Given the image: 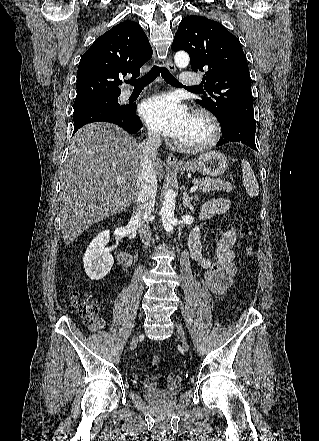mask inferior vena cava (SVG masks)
<instances>
[{
    "label": "inferior vena cava",
    "instance_id": "obj_1",
    "mask_svg": "<svg viewBox=\"0 0 319 441\" xmlns=\"http://www.w3.org/2000/svg\"><path fill=\"white\" fill-rule=\"evenodd\" d=\"M160 135L148 132L141 143L139 191L134 200L132 221L138 225L139 234L145 247L150 245L151 232L148 218L154 208L157 192V178L154 162L160 146Z\"/></svg>",
    "mask_w": 319,
    "mask_h": 441
}]
</instances>
